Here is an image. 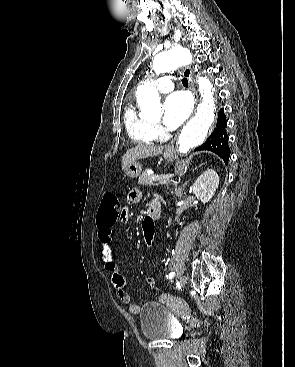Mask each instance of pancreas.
<instances>
[{
    "label": "pancreas",
    "instance_id": "pancreas-1",
    "mask_svg": "<svg viewBox=\"0 0 295 367\" xmlns=\"http://www.w3.org/2000/svg\"><path fill=\"white\" fill-rule=\"evenodd\" d=\"M156 175H152V174H147V173H142V175H140L139 179H138V184L139 185H158L160 184H168L173 182V180L170 177H167L165 179H160V180H154L153 177Z\"/></svg>",
    "mask_w": 295,
    "mask_h": 367
}]
</instances>
